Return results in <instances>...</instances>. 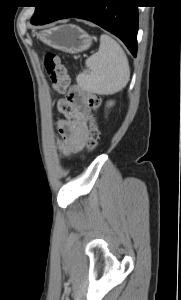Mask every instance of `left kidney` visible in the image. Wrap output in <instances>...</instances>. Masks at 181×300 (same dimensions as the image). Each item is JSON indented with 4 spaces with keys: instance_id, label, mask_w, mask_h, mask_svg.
<instances>
[{
    "instance_id": "1",
    "label": "left kidney",
    "mask_w": 181,
    "mask_h": 300,
    "mask_svg": "<svg viewBox=\"0 0 181 300\" xmlns=\"http://www.w3.org/2000/svg\"><path fill=\"white\" fill-rule=\"evenodd\" d=\"M114 103L112 101L108 102V106H112Z\"/></svg>"
}]
</instances>
